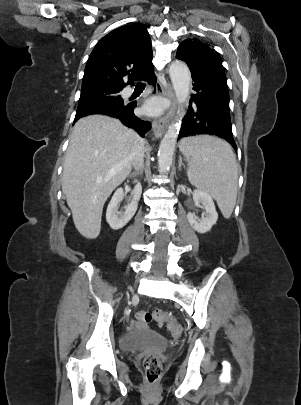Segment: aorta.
I'll use <instances>...</instances> for the list:
<instances>
[{
    "label": "aorta",
    "mask_w": 301,
    "mask_h": 405,
    "mask_svg": "<svg viewBox=\"0 0 301 405\" xmlns=\"http://www.w3.org/2000/svg\"><path fill=\"white\" fill-rule=\"evenodd\" d=\"M170 78L173 84L177 101L184 104L189 96V86L191 73L188 66L179 60L171 63L169 68ZM184 109L181 107L177 111L175 120L169 125L158 151V171L160 174H167L172 165L175 146L181 127V119L184 116Z\"/></svg>",
    "instance_id": "obj_1"
}]
</instances>
